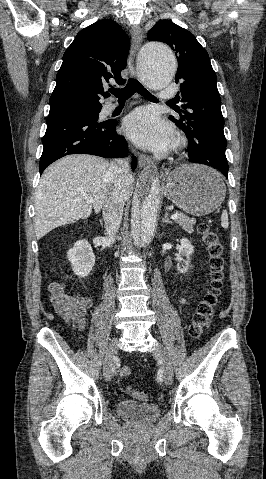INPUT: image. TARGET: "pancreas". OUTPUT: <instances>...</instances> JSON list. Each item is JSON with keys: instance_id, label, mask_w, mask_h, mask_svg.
<instances>
[{"instance_id": "1", "label": "pancreas", "mask_w": 266, "mask_h": 479, "mask_svg": "<svg viewBox=\"0 0 266 479\" xmlns=\"http://www.w3.org/2000/svg\"><path fill=\"white\" fill-rule=\"evenodd\" d=\"M176 214L178 215V218L175 220V222L182 226L183 230H185L186 232L193 233L196 220L189 218L188 216L179 211H176Z\"/></svg>"}]
</instances>
